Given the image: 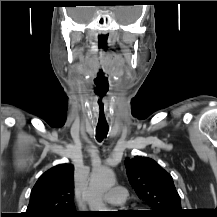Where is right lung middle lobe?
I'll use <instances>...</instances> for the list:
<instances>
[{
  "label": "right lung middle lobe",
  "mask_w": 217,
  "mask_h": 217,
  "mask_svg": "<svg viewBox=\"0 0 217 217\" xmlns=\"http://www.w3.org/2000/svg\"><path fill=\"white\" fill-rule=\"evenodd\" d=\"M78 216V214L77 215H64V216H61V217H77Z\"/></svg>",
  "instance_id": "right-lung-middle-lobe-1"
}]
</instances>
